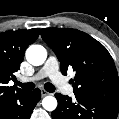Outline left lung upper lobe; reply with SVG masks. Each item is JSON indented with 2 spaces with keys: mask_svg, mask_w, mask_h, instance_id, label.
Listing matches in <instances>:
<instances>
[{
  "mask_svg": "<svg viewBox=\"0 0 119 119\" xmlns=\"http://www.w3.org/2000/svg\"><path fill=\"white\" fill-rule=\"evenodd\" d=\"M42 39L55 52L63 74L72 67L74 93L119 103L118 74L107 49L76 29L44 28Z\"/></svg>",
  "mask_w": 119,
  "mask_h": 119,
  "instance_id": "obj_1",
  "label": "left lung upper lobe"
}]
</instances>
